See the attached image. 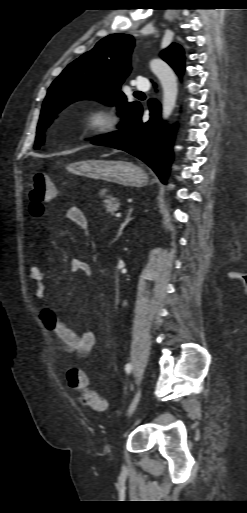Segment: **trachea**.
Instances as JSON below:
<instances>
[{"label":"trachea","mask_w":247,"mask_h":513,"mask_svg":"<svg viewBox=\"0 0 247 513\" xmlns=\"http://www.w3.org/2000/svg\"><path fill=\"white\" fill-rule=\"evenodd\" d=\"M136 93H137V94H141V92H139V91H136Z\"/></svg>","instance_id":"trachea-1"}]
</instances>
